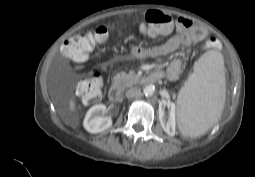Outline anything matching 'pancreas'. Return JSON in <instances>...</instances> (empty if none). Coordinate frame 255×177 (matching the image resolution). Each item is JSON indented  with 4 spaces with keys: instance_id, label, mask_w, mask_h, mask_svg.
I'll return each mask as SVG.
<instances>
[{
    "instance_id": "1",
    "label": "pancreas",
    "mask_w": 255,
    "mask_h": 177,
    "mask_svg": "<svg viewBox=\"0 0 255 177\" xmlns=\"http://www.w3.org/2000/svg\"><path fill=\"white\" fill-rule=\"evenodd\" d=\"M139 80L137 75L132 73L126 74L125 72L117 73L112 80V84L115 87L125 89L126 87L136 84Z\"/></svg>"
}]
</instances>
